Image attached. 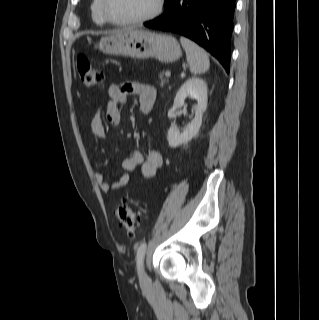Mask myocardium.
<instances>
[{"mask_svg":"<svg viewBox=\"0 0 319 320\" xmlns=\"http://www.w3.org/2000/svg\"><path fill=\"white\" fill-rule=\"evenodd\" d=\"M163 8H164V0H157L156 7L154 8V10L145 16L132 18V19H126V20H116V19L112 18L108 12L107 0H101V12H102L104 19L107 22H109L113 25H118V26L138 24V23H144V22L150 21V20L158 17L162 13Z\"/></svg>","mask_w":319,"mask_h":320,"instance_id":"f54148a6","label":"myocardium"}]
</instances>
